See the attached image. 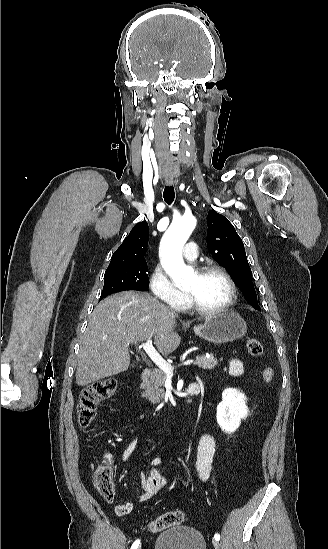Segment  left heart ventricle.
I'll list each match as a JSON object with an SVG mask.
<instances>
[{
  "instance_id": "left-heart-ventricle-1",
  "label": "left heart ventricle",
  "mask_w": 328,
  "mask_h": 549,
  "mask_svg": "<svg viewBox=\"0 0 328 549\" xmlns=\"http://www.w3.org/2000/svg\"><path fill=\"white\" fill-rule=\"evenodd\" d=\"M183 290L189 292L203 308L212 309L222 305L229 296L227 280L218 271L197 275L191 273Z\"/></svg>"
}]
</instances>
